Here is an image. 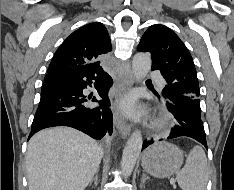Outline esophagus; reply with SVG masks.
Masks as SVG:
<instances>
[{
	"label": "esophagus",
	"instance_id": "1",
	"mask_svg": "<svg viewBox=\"0 0 234 190\" xmlns=\"http://www.w3.org/2000/svg\"><path fill=\"white\" fill-rule=\"evenodd\" d=\"M134 84V78L130 70H127L126 73L120 76V84L118 96L124 95L127 91H129ZM114 122L115 125L121 134L122 137H126L131 132V125L127 122V120L121 115L117 106L114 110Z\"/></svg>",
	"mask_w": 234,
	"mask_h": 190
}]
</instances>
